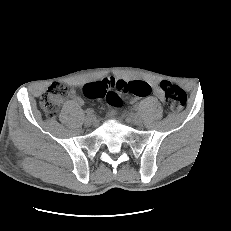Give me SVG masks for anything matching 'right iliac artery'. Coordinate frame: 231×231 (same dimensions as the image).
<instances>
[{"label":"right iliac artery","mask_w":231,"mask_h":231,"mask_svg":"<svg viewBox=\"0 0 231 231\" xmlns=\"http://www.w3.org/2000/svg\"><path fill=\"white\" fill-rule=\"evenodd\" d=\"M86 114H87V115H93V110L90 109V108H88V109L86 110Z\"/></svg>","instance_id":"1"}]
</instances>
